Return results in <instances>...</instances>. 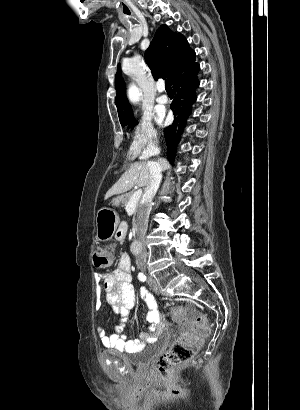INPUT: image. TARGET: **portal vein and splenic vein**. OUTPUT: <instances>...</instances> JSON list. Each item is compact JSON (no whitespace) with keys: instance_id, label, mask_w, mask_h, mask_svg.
Returning <instances> with one entry per match:
<instances>
[{"instance_id":"portal-vein-and-splenic-vein-1","label":"portal vein and splenic vein","mask_w":300,"mask_h":410,"mask_svg":"<svg viewBox=\"0 0 300 410\" xmlns=\"http://www.w3.org/2000/svg\"><path fill=\"white\" fill-rule=\"evenodd\" d=\"M142 195V189H138L134 192L132 197L130 198L129 202L126 205V211H132L135 209L137 203L139 202Z\"/></svg>"}]
</instances>
